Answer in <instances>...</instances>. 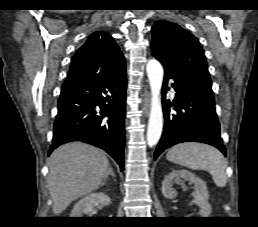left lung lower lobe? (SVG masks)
I'll return each mask as SVG.
<instances>
[{
  "instance_id": "left-lung-lower-lobe-1",
  "label": "left lung lower lobe",
  "mask_w": 258,
  "mask_h": 227,
  "mask_svg": "<svg viewBox=\"0 0 258 227\" xmlns=\"http://www.w3.org/2000/svg\"><path fill=\"white\" fill-rule=\"evenodd\" d=\"M173 79L176 96L173 103L165 100L163 90L164 130L154 153V159L167 148L181 142H201L218 148L226 155L220 136V124L215 111L212 85L165 71L163 88ZM173 106L175 112L170 113Z\"/></svg>"
}]
</instances>
